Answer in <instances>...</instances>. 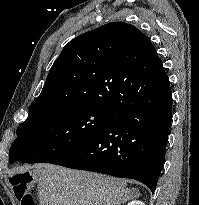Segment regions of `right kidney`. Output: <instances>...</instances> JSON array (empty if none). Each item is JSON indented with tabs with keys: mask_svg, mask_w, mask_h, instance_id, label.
I'll return each instance as SVG.
<instances>
[{
	"mask_svg": "<svg viewBox=\"0 0 199 205\" xmlns=\"http://www.w3.org/2000/svg\"><path fill=\"white\" fill-rule=\"evenodd\" d=\"M127 205H145L142 201L139 200H133L129 202Z\"/></svg>",
	"mask_w": 199,
	"mask_h": 205,
	"instance_id": "obj_1",
	"label": "right kidney"
}]
</instances>
